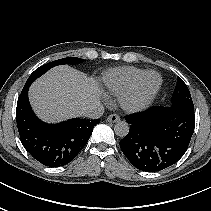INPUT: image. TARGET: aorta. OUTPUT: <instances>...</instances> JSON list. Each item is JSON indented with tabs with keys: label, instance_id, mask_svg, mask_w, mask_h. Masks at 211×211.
I'll use <instances>...</instances> for the list:
<instances>
[{
	"label": "aorta",
	"instance_id": "obj_1",
	"mask_svg": "<svg viewBox=\"0 0 211 211\" xmlns=\"http://www.w3.org/2000/svg\"><path fill=\"white\" fill-rule=\"evenodd\" d=\"M114 132L119 137H125L129 132V125L125 121H119L114 126Z\"/></svg>",
	"mask_w": 211,
	"mask_h": 211
}]
</instances>
